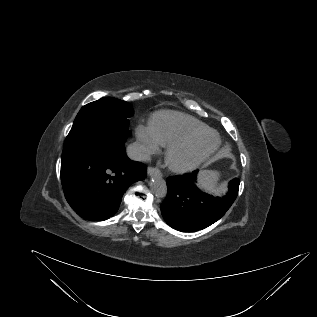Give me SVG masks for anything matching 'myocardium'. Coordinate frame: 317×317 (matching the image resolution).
I'll list each match as a JSON object with an SVG mask.
<instances>
[{
    "label": "myocardium",
    "mask_w": 317,
    "mask_h": 317,
    "mask_svg": "<svg viewBox=\"0 0 317 317\" xmlns=\"http://www.w3.org/2000/svg\"><path fill=\"white\" fill-rule=\"evenodd\" d=\"M208 135L214 137V142L206 149L198 152L191 160L184 163H176L172 160V156L177 150ZM220 144V136L216 131L212 129H205L202 131L192 132L176 139L166 147L165 162L167 166L174 172H188L197 168L199 165H201L203 162L209 159L219 149Z\"/></svg>",
    "instance_id": "obj_1"
}]
</instances>
